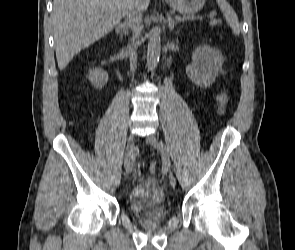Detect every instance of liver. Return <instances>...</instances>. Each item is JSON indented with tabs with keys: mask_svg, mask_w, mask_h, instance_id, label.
Returning a JSON list of instances; mask_svg holds the SVG:
<instances>
[{
	"mask_svg": "<svg viewBox=\"0 0 295 250\" xmlns=\"http://www.w3.org/2000/svg\"><path fill=\"white\" fill-rule=\"evenodd\" d=\"M146 11L149 0H137ZM128 0H54L52 25L58 67L65 69L82 49L100 40L120 22Z\"/></svg>",
	"mask_w": 295,
	"mask_h": 250,
	"instance_id": "obj_1",
	"label": "liver"
}]
</instances>
